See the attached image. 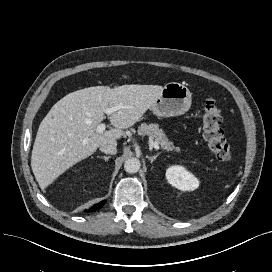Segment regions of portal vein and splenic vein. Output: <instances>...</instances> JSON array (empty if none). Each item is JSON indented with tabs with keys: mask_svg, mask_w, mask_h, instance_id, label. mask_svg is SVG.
Segmentation results:
<instances>
[{
	"mask_svg": "<svg viewBox=\"0 0 272 272\" xmlns=\"http://www.w3.org/2000/svg\"><path fill=\"white\" fill-rule=\"evenodd\" d=\"M120 108H121L120 106H115V107H112V108H106L105 109V114L111 115L113 112L118 111ZM105 128H106V124L105 123H100V124L97 125L96 130H97V132L102 133V132H104ZM83 144H86V141H84ZM151 145L154 147V149L159 150V144L156 141H152Z\"/></svg>",
	"mask_w": 272,
	"mask_h": 272,
	"instance_id": "obj_1",
	"label": "portal vein and splenic vein"
}]
</instances>
